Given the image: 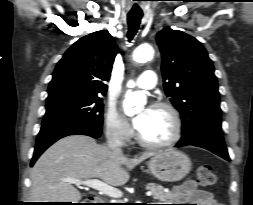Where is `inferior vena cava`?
Wrapping results in <instances>:
<instances>
[{
  "label": "inferior vena cava",
  "instance_id": "inferior-vena-cava-1",
  "mask_svg": "<svg viewBox=\"0 0 253 205\" xmlns=\"http://www.w3.org/2000/svg\"><path fill=\"white\" fill-rule=\"evenodd\" d=\"M107 146L110 150L116 153H121V141L119 138L113 134L110 133L107 135Z\"/></svg>",
  "mask_w": 253,
  "mask_h": 205
}]
</instances>
